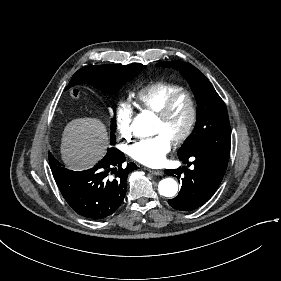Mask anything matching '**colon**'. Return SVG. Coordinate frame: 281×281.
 Wrapping results in <instances>:
<instances>
[{"label": "colon", "mask_w": 281, "mask_h": 281, "mask_svg": "<svg viewBox=\"0 0 281 281\" xmlns=\"http://www.w3.org/2000/svg\"><path fill=\"white\" fill-rule=\"evenodd\" d=\"M74 98L77 102H79L82 98V96L79 94V92H74Z\"/></svg>", "instance_id": "1"}]
</instances>
